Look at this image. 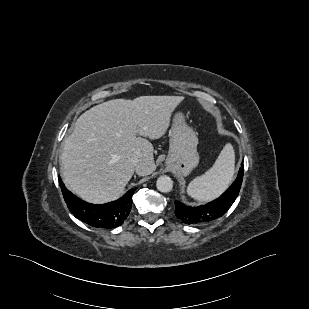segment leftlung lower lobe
<instances>
[{
  "label": "left lung lower lobe",
  "mask_w": 309,
  "mask_h": 309,
  "mask_svg": "<svg viewBox=\"0 0 309 309\" xmlns=\"http://www.w3.org/2000/svg\"><path fill=\"white\" fill-rule=\"evenodd\" d=\"M244 166L241 164L238 176L234 183L218 199L198 207L186 206L175 201V214L185 224L202 225L223 216L237 198L242 180Z\"/></svg>",
  "instance_id": "1"
}]
</instances>
